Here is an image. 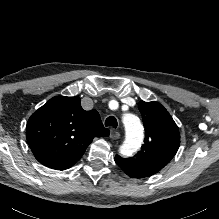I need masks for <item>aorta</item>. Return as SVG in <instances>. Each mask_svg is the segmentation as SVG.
Returning a JSON list of instances; mask_svg holds the SVG:
<instances>
[{"instance_id": "obj_1", "label": "aorta", "mask_w": 219, "mask_h": 219, "mask_svg": "<svg viewBox=\"0 0 219 219\" xmlns=\"http://www.w3.org/2000/svg\"><path fill=\"white\" fill-rule=\"evenodd\" d=\"M123 122L126 128V140L120 151L121 154L130 156L141 147L144 130L140 119L133 114L125 115Z\"/></svg>"}]
</instances>
